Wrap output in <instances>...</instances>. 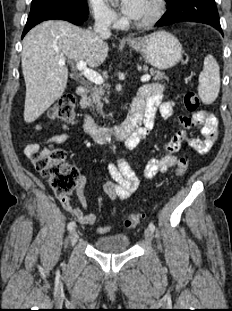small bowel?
<instances>
[{"label": "small bowel", "mask_w": 232, "mask_h": 311, "mask_svg": "<svg viewBox=\"0 0 232 311\" xmlns=\"http://www.w3.org/2000/svg\"><path fill=\"white\" fill-rule=\"evenodd\" d=\"M164 88L160 84H148L143 86L137 97L144 104V126L137 129L126 142L122 154L135 150L149 136L154 128L156 114L159 113L164 120H170L175 117L174 102L165 100ZM179 129L174 133L171 139L166 143L164 155L161 158H153L148 161L144 168L146 178H152L157 174L165 173L177 164L178 158L175 153L179 150L183 142H187L199 154H206L212 148L217 140L218 120L207 112L199 111L192 116L178 115L175 117ZM199 128L203 138L193 137L190 131ZM71 138L68 134H60L52 137L41 152H47L52 145H61ZM41 146L38 143L28 145L24 153L33 162V155L40 152ZM109 172L111 179L104 184V191L111 200H125L139 187L140 181L123 157H120L116 164H110ZM86 184L85 177H80L77 187V197L80 206L74 205L68 196H58V200L63 208L75 217L82 225H94L97 222V216L93 213H87V201L84 193ZM111 226H101L97 229L98 234L109 232Z\"/></svg>", "instance_id": "1"}]
</instances>
